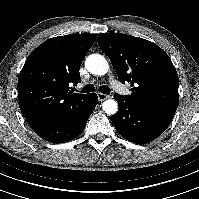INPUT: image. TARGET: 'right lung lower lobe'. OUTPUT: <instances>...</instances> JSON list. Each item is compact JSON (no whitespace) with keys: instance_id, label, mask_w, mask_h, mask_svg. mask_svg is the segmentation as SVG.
I'll return each mask as SVG.
<instances>
[{"instance_id":"right-lung-lower-lobe-1","label":"right lung lower lobe","mask_w":199,"mask_h":199,"mask_svg":"<svg viewBox=\"0 0 199 199\" xmlns=\"http://www.w3.org/2000/svg\"><path fill=\"white\" fill-rule=\"evenodd\" d=\"M97 103V95L91 93L84 105L77 111L69 114L57 124L35 130V132L41 138L51 143L71 141L81 134Z\"/></svg>"}]
</instances>
